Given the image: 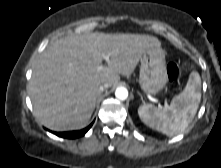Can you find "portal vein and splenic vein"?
Wrapping results in <instances>:
<instances>
[{
    "instance_id": "portal-vein-and-splenic-vein-1",
    "label": "portal vein and splenic vein",
    "mask_w": 221,
    "mask_h": 168,
    "mask_svg": "<svg viewBox=\"0 0 221 168\" xmlns=\"http://www.w3.org/2000/svg\"><path fill=\"white\" fill-rule=\"evenodd\" d=\"M103 58L105 59V61L109 62L110 54H103ZM98 69L99 70L103 69V66L102 65L98 66Z\"/></svg>"
}]
</instances>
